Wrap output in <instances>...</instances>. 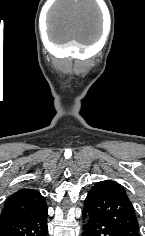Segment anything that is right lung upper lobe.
Returning a JSON list of instances; mask_svg holds the SVG:
<instances>
[{
    "instance_id": "1",
    "label": "right lung upper lobe",
    "mask_w": 145,
    "mask_h": 236,
    "mask_svg": "<svg viewBox=\"0 0 145 236\" xmlns=\"http://www.w3.org/2000/svg\"><path fill=\"white\" fill-rule=\"evenodd\" d=\"M47 208L44 197L34 189L23 188L7 200L0 217V224Z\"/></svg>"
}]
</instances>
